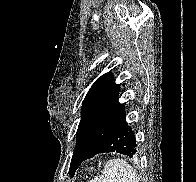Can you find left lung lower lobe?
<instances>
[{
	"label": "left lung lower lobe",
	"mask_w": 196,
	"mask_h": 182,
	"mask_svg": "<svg viewBox=\"0 0 196 182\" xmlns=\"http://www.w3.org/2000/svg\"><path fill=\"white\" fill-rule=\"evenodd\" d=\"M111 152L124 154L128 157H133V155L136 153V140L134 132L132 131L131 127L128 126L125 118L93 151L74 154L76 163L71 176L74 175L75 170L84 160L92 158L100 153Z\"/></svg>",
	"instance_id": "left-lung-lower-lobe-1"
}]
</instances>
